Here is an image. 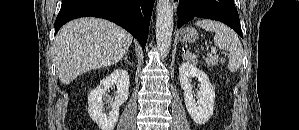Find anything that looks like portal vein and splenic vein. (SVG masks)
<instances>
[{"mask_svg": "<svg viewBox=\"0 0 299 130\" xmlns=\"http://www.w3.org/2000/svg\"><path fill=\"white\" fill-rule=\"evenodd\" d=\"M211 52H213L215 54L217 52L216 48L212 47Z\"/></svg>", "mask_w": 299, "mask_h": 130, "instance_id": "obj_1", "label": "portal vein and splenic vein"}]
</instances>
